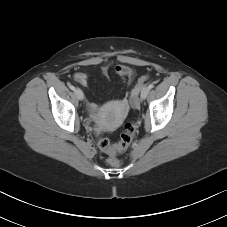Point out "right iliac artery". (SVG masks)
Masks as SVG:
<instances>
[{
  "mask_svg": "<svg viewBox=\"0 0 227 227\" xmlns=\"http://www.w3.org/2000/svg\"><path fill=\"white\" fill-rule=\"evenodd\" d=\"M69 88L71 89V90H75V87L73 86V85H69Z\"/></svg>",
  "mask_w": 227,
  "mask_h": 227,
  "instance_id": "right-iliac-artery-1",
  "label": "right iliac artery"
}]
</instances>
